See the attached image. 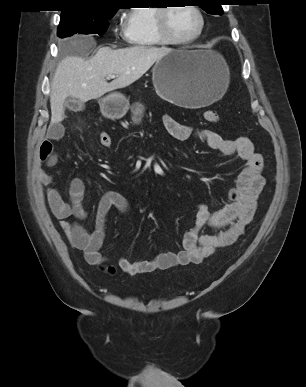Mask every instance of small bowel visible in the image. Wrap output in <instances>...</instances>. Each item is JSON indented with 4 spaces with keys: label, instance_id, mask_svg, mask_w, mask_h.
Masks as SVG:
<instances>
[{
    "label": "small bowel",
    "instance_id": "obj_1",
    "mask_svg": "<svg viewBox=\"0 0 306 387\" xmlns=\"http://www.w3.org/2000/svg\"><path fill=\"white\" fill-rule=\"evenodd\" d=\"M168 133L179 141H187L196 137L209 148L223 156H239L244 162L236 179V185L228 192L229 203L221 209L211 212L207 205L200 204L196 212L194 227L184 234L182 249L178 252H165L149 259L131 262L125 257L118 260L119 268L129 274H145L166 270L175 266L200 264L215 253L218 248L233 244L243 235L247 225L252 221L257 199L264 187L262 175L263 158L255 151L252 141L247 137L228 140L209 129H195L176 121L169 115L163 117ZM61 123L50 126L47 138L38 150V181L47 187V201L54 216L59 219L60 228L69 242L84 253L88 263L97 265L106 261L101 253L105 236L107 217L112 209L127 213L129 204L119 192L108 191L98 205L96 226L93 231L86 230L79 221L85 219L87 213L82 202L85 184L80 178H73L69 184V200H65L60 192L51 186L52 176L45 167H52L57 162L53 142L63 135ZM74 217L76 220H69ZM210 227L214 233H205L203 229Z\"/></svg>",
    "mask_w": 306,
    "mask_h": 387
}]
</instances>
